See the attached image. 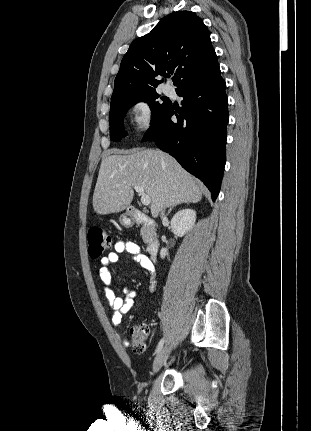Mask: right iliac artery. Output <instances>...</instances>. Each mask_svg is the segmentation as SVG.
Here are the masks:
<instances>
[{"instance_id": "1", "label": "right iliac artery", "mask_w": 311, "mask_h": 431, "mask_svg": "<svg viewBox=\"0 0 311 431\" xmlns=\"http://www.w3.org/2000/svg\"><path fill=\"white\" fill-rule=\"evenodd\" d=\"M163 344H164V339H161L157 345L156 354H158L162 350Z\"/></svg>"}]
</instances>
